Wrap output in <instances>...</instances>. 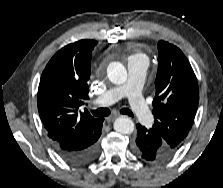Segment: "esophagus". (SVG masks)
I'll use <instances>...</instances> for the list:
<instances>
[{
  "mask_svg": "<svg viewBox=\"0 0 223 188\" xmlns=\"http://www.w3.org/2000/svg\"><path fill=\"white\" fill-rule=\"evenodd\" d=\"M119 116H120L119 114H115L113 116H110V117L106 118V120H107V122H112Z\"/></svg>",
  "mask_w": 223,
  "mask_h": 188,
  "instance_id": "obj_1",
  "label": "esophagus"
}]
</instances>
